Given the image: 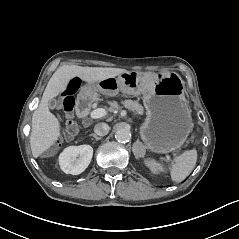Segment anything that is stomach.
<instances>
[{"instance_id": "stomach-1", "label": "stomach", "mask_w": 239, "mask_h": 239, "mask_svg": "<svg viewBox=\"0 0 239 239\" xmlns=\"http://www.w3.org/2000/svg\"><path fill=\"white\" fill-rule=\"evenodd\" d=\"M184 81L178 74L161 73L154 76L140 71H128L118 78L87 84L78 99L97 100L99 93L113 96L121 90L131 95H143L146 117L138 134L141 149L156 154L178 150L192 131L191 111L184 95Z\"/></svg>"}]
</instances>
